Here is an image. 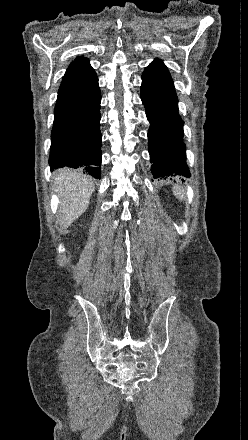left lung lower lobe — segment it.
<instances>
[{"instance_id": "0a47b994", "label": "left lung lower lobe", "mask_w": 248, "mask_h": 440, "mask_svg": "<svg viewBox=\"0 0 248 440\" xmlns=\"http://www.w3.org/2000/svg\"><path fill=\"white\" fill-rule=\"evenodd\" d=\"M141 99L150 123V161L154 178L190 177L183 143V124L173 86L142 77ZM183 180V179H182Z\"/></svg>"}]
</instances>
